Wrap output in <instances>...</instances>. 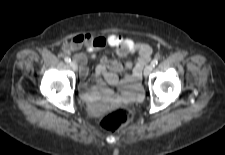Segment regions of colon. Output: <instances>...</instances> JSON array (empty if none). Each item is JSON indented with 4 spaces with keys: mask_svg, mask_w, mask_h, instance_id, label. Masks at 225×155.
Listing matches in <instances>:
<instances>
[{
    "mask_svg": "<svg viewBox=\"0 0 225 155\" xmlns=\"http://www.w3.org/2000/svg\"><path fill=\"white\" fill-rule=\"evenodd\" d=\"M135 112L128 107H120L104 115L99 125L105 131H116L117 129L133 121Z\"/></svg>",
    "mask_w": 225,
    "mask_h": 155,
    "instance_id": "colon-1",
    "label": "colon"
}]
</instances>
